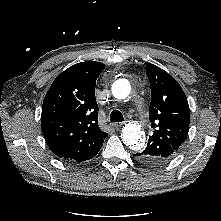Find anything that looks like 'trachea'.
<instances>
[{
    "mask_svg": "<svg viewBox=\"0 0 221 221\" xmlns=\"http://www.w3.org/2000/svg\"><path fill=\"white\" fill-rule=\"evenodd\" d=\"M110 121L111 122H122V121H124V117L120 111L113 110L110 114Z\"/></svg>",
    "mask_w": 221,
    "mask_h": 221,
    "instance_id": "1",
    "label": "trachea"
}]
</instances>
